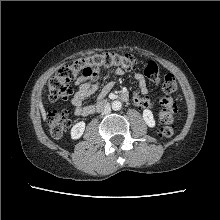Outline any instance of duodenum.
Masks as SVG:
<instances>
[{
  "label": "duodenum",
  "instance_id": "1",
  "mask_svg": "<svg viewBox=\"0 0 220 220\" xmlns=\"http://www.w3.org/2000/svg\"><path fill=\"white\" fill-rule=\"evenodd\" d=\"M128 98H129V97H128V95H127L126 93H123V94H120V95H119V99H120L121 101L126 102V101H128ZM106 105H107L106 99H104V98L100 99V100L98 101V103H97V106L95 107V111H98V110H101V109L105 108Z\"/></svg>",
  "mask_w": 220,
  "mask_h": 220
}]
</instances>
